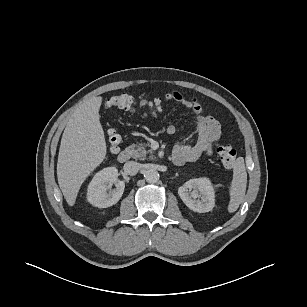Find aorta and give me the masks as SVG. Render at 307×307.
Segmentation results:
<instances>
[{
    "label": "aorta",
    "mask_w": 307,
    "mask_h": 307,
    "mask_svg": "<svg viewBox=\"0 0 307 307\" xmlns=\"http://www.w3.org/2000/svg\"><path fill=\"white\" fill-rule=\"evenodd\" d=\"M144 177L148 183H157L159 180V173L155 169L145 171Z\"/></svg>",
    "instance_id": "762f6f07"
}]
</instances>
